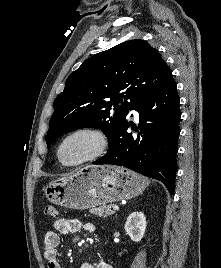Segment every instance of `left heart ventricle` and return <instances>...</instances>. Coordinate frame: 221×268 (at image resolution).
<instances>
[{
	"mask_svg": "<svg viewBox=\"0 0 221 268\" xmlns=\"http://www.w3.org/2000/svg\"><path fill=\"white\" fill-rule=\"evenodd\" d=\"M94 146V140L87 135L70 139L62 148L61 156L65 162H74L85 156Z\"/></svg>",
	"mask_w": 221,
	"mask_h": 268,
	"instance_id": "left-heart-ventricle-1",
	"label": "left heart ventricle"
}]
</instances>
